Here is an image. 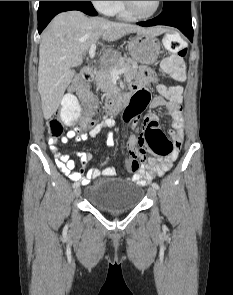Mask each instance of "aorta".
Segmentation results:
<instances>
[{
    "label": "aorta",
    "mask_w": 233,
    "mask_h": 295,
    "mask_svg": "<svg viewBox=\"0 0 233 295\" xmlns=\"http://www.w3.org/2000/svg\"><path fill=\"white\" fill-rule=\"evenodd\" d=\"M117 105H118V106L121 105V101H120V99L117 101Z\"/></svg>",
    "instance_id": "aorta-1"
}]
</instances>
